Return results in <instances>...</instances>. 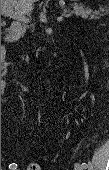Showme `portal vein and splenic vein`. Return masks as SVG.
Returning <instances> with one entry per match:
<instances>
[{
  "label": "portal vein and splenic vein",
  "instance_id": "obj_1",
  "mask_svg": "<svg viewBox=\"0 0 109 170\" xmlns=\"http://www.w3.org/2000/svg\"><path fill=\"white\" fill-rule=\"evenodd\" d=\"M2 13L4 15L10 17V18H13V19L25 22V23H27L29 21V19L25 16L24 13L16 12V11L13 10L12 7L3 6ZM63 16L64 17H70L71 13H67V14L64 13ZM62 20H63V17H58L57 18V21H59V22H61Z\"/></svg>",
  "mask_w": 109,
  "mask_h": 170
}]
</instances>
